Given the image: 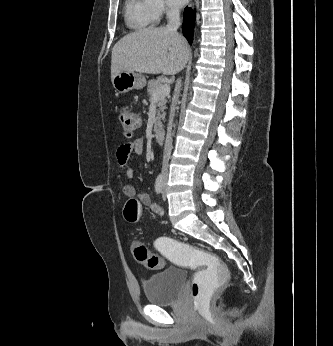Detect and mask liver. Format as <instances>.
Returning <instances> with one entry per match:
<instances>
[{
    "mask_svg": "<svg viewBox=\"0 0 333 346\" xmlns=\"http://www.w3.org/2000/svg\"><path fill=\"white\" fill-rule=\"evenodd\" d=\"M189 57L190 48L177 32L166 27L141 29L114 45L111 79L123 71L175 75L185 67Z\"/></svg>",
    "mask_w": 333,
    "mask_h": 346,
    "instance_id": "1",
    "label": "liver"
}]
</instances>
